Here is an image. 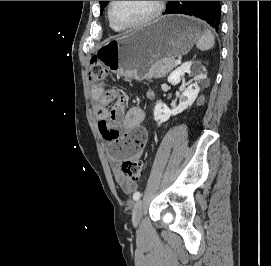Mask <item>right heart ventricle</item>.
<instances>
[{
	"mask_svg": "<svg viewBox=\"0 0 271 266\" xmlns=\"http://www.w3.org/2000/svg\"><path fill=\"white\" fill-rule=\"evenodd\" d=\"M110 27L115 31V32H119L121 31L120 29L114 27L111 23H110Z\"/></svg>",
	"mask_w": 271,
	"mask_h": 266,
	"instance_id": "1",
	"label": "right heart ventricle"
}]
</instances>
